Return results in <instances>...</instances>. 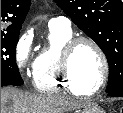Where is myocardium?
<instances>
[{
    "label": "myocardium",
    "instance_id": "f54148a6",
    "mask_svg": "<svg viewBox=\"0 0 123 113\" xmlns=\"http://www.w3.org/2000/svg\"><path fill=\"white\" fill-rule=\"evenodd\" d=\"M81 44H89L90 46H92L101 60L102 65L101 79L98 85L91 91H86L77 86L72 78L71 60L75 51ZM60 69L61 74L64 80L66 81L67 85L74 91L78 92L80 95L85 96H94L100 93L102 89L105 87L109 78V62L104 50L94 39L86 36L72 37L65 43L61 54Z\"/></svg>",
    "mask_w": 123,
    "mask_h": 113
}]
</instances>
